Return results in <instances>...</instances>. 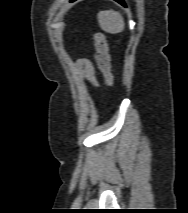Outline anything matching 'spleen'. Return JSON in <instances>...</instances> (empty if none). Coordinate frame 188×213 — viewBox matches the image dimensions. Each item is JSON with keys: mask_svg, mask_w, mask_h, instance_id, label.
Wrapping results in <instances>:
<instances>
[{"mask_svg": "<svg viewBox=\"0 0 188 213\" xmlns=\"http://www.w3.org/2000/svg\"><path fill=\"white\" fill-rule=\"evenodd\" d=\"M100 27L111 34H117L124 30L125 23L122 15L113 10L100 11L98 14Z\"/></svg>", "mask_w": 188, "mask_h": 213, "instance_id": "spleen-1", "label": "spleen"}]
</instances>
